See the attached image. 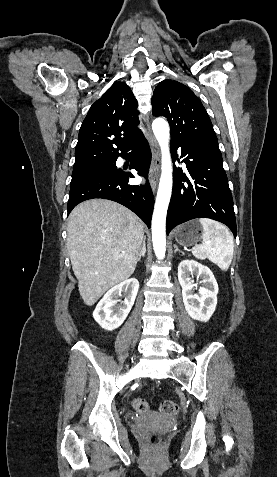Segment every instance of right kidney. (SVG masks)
I'll return each mask as SVG.
<instances>
[{
  "label": "right kidney",
  "instance_id": "ca27d5eb",
  "mask_svg": "<svg viewBox=\"0 0 277 477\" xmlns=\"http://www.w3.org/2000/svg\"><path fill=\"white\" fill-rule=\"evenodd\" d=\"M139 289L136 278L127 279L112 287L97 304L93 318L105 330L112 331L118 328L128 316ZM125 297L121 304L119 297Z\"/></svg>",
  "mask_w": 277,
  "mask_h": 477
}]
</instances>
